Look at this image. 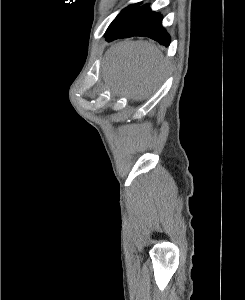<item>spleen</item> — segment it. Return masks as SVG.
<instances>
[{"mask_svg": "<svg viewBox=\"0 0 245 300\" xmlns=\"http://www.w3.org/2000/svg\"><path fill=\"white\" fill-rule=\"evenodd\" d=\"M105 70L109 72V84L115 93H130L136 100L144 99L149 86L164 69L159 49L148 42H120L106 55Z\"/></svg>", "mask_w": 245, "mask_h": 300, "instance_id": "obj_1", "label": "spleen"}]
</instances>
